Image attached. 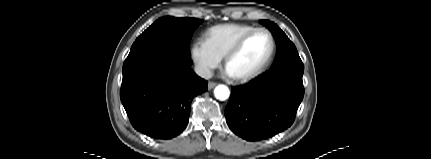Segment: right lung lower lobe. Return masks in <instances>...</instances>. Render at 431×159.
<instances>
[{"label":"right lung lower lobe","mask_w":431,"mask_h":159,"mask_svg":"<svg viewBox=\"0 0 431 159\" xmlns=\"http://www.w3.org/2000/svg\"><path fill=\"white\" fill-rule=\"evenodd\" d=\"M192 64L190 56L161 44L129 53L120 98L137 131L155 139L183 132L193 98L207 90V81L191 70Z\"/></svg>","instance_id":"1"}]
</instances>
